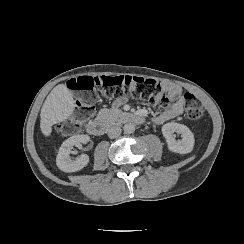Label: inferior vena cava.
Returning <instances> with one entry per match:
<instances>
[{"label": "inferior vena cava", "instance_id": "1", "mask_svg": "<svg viewBox=\"0 0 244 244\" xmlns=\"http://www.w3.org/2000/svg\"><path fill=\"white\" fill-rule=\"evenodd\" d=\"M121 132H122L121 128L117 125H114L109 128L108 136L110 138H116L121 134Z\"/></svg>", "mask_w": 244, "mask_h": 244}]
</instances>
